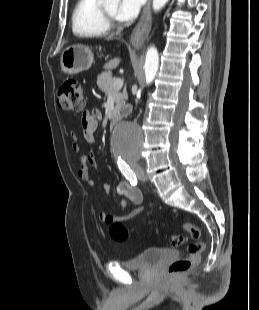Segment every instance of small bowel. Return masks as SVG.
Listing matches in <instances>:
<instances>
[{"instance_id": "1", "label": "small bowel", "mask_w": 259, "mask_h": 310, "mask_svg": "<svg viewBox=\"0 0 259 310\" xmlns=\"http://www.w3.org/2000/svg\"><path fill=\"white\" fill-rule=\"evenodd\" d=\"M102 114L98 109L87 110L81 115V127L83 139L86 143H93L95 140V133L97 130L98 122L101 120ZM71 147L72 150L78 152L80 150V143L78 135L75 132H71ZM96 165V158L93 152H88L80 157V166L78 169L79 178L84 181L89 187L93 188L96 182L90 176V166ZM115 193L118 196L123 197L121 207L124 210L127 206V202L134 204V208L128 212L123 213L120 216H110L106 212H100L98 219L102 224L108 225L116 220H130L139 215L142 210V193L138 187L132 185L129 182L122 181L117 184Z\"/></svg>"}]
</instances>
